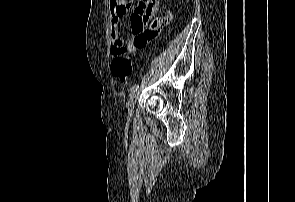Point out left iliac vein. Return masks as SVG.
<instances>
[{
  "mask_svg": "<svg viewBox=\"0 0 295 202\" xmlns=\"http://www.w3.org/2000/svg\"><path fill=\"white\" fill-rule=\"evenodd\" d=\"M137 98V94L136 93H133L129 100H128V103H127V110H128V114L131 116L133 114V111H134V103H135V100Z\"/></svg>",
  "mask_w": 295,
  "mask_h": 202,
  "instance_id": "4c4485c4",
  "label": "left iliac vein"
}]
</instances>
